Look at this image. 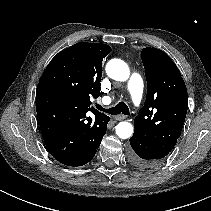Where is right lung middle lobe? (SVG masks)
Returning a JSON list of instances; mask_svg holds the SVG:
<instances>
[{
  "label": "right lung middle lobe",
  "instance_id": "dd1d6c3e",
  "mask_svg": "<svg viewBox=\"0 0 211 211\" xmlns=\"http://www.w3.org/2000/svg\"><path fill=\"white\" fill-rule=\"evenodd\" d=\"M41 78H40L39 82L41 81ZM43 82H45L47 84V86L54 87V88L63 90L65 92H68L74 96H77L75 90L65 83L64 75L62 73H60V71L55 67L52 68L50 73H48L43 78Z\"/></svg>",
  "mask_w": 211,
  "mask_h": 211
}]
</instances>
